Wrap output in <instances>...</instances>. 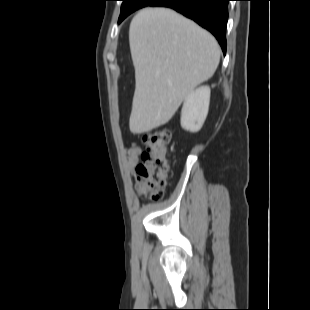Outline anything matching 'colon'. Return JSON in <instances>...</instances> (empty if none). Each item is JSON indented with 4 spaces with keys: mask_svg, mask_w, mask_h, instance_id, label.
I'll list each match as a JSON object with an SVG mask.
<instances>
[{
    "mask_svg": "<svg viewBox=\"0 0 310 310\" xmlns=\"http://www.w3.org/2000/svg\"><path fill=\"white\" fill-rule=\"evenodd\" d=\"M171 131L159 128L143 136L142 164L136 168V187L139 193L151 200L161 197L170 167L168 145Z\"/></svg>",
    "mask_w": 310,
    "mask_h": 310,
    "instance_id": "5ec220e1",
    "label": "colon"
}]
</instances>
